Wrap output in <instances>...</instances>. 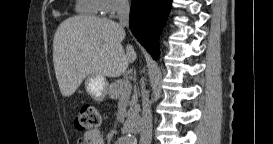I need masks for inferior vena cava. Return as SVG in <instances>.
Returning <instances> with one entry per match:
<instances>
[{"instance_id":"602c4592","label":"inferior vena cava","mask_w":273,"mask_h":144,"mask_svg":"<svg viewBox=\"0 0 273 144\" xmlns=\"http://www.w3.org/2000/svg\"><path fill=\"white\" fill-rule=\"evenodd\" d=\"M116 11L119 18V25H129L130 6L128 0H116ZM152 140V113L151 104L147 91L142 92V120L140 127V144H151Z\"/></svg>"}]
</instances>
